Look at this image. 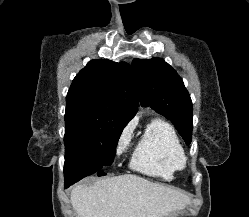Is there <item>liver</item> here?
<instances>
[{
	"label": "liver",
	"mask_w": 249,
	"mask_h": 217,
	"mask_svg": "<svg viewBox=\"0 0 249 217\" xmlns=\"http://www.w3.org/2000/svg\"><path fill=\"white\" fill-rule=\"evenodd\" d=\"M78 217H165L189 203L185 194L125 174L80 184L70 195Z\"/></svg>",
	"instance_id": "6515ba94"
}]
</instances>
